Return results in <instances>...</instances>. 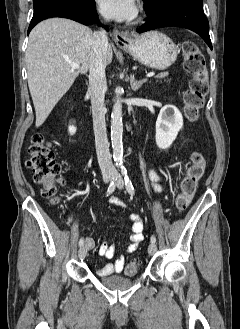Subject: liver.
Wrapping results in <instances>:
<instances>
[{
    "mask_svg": "<svg viewBox=\"0 0 240 329\" xmlns=\"http://www.w3.org/2000/svg\"><path fill=\"white\" fill-rule=\"evenodd\" d=\"M93 32L75 21L52 18L30 32L25 54L27 80L40 127L80 73L89 69ZM110 45L106 65L112 61ZM70 63L79 65L72 69Z\"/></svg>",
    "mask_w": 240,
    "mask_h": 329,
    "instance_id": "obj_1",
    "label": "liver"
}]
</instances>
